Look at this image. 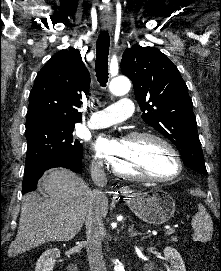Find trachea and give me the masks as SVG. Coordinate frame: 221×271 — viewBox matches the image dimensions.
<instances>
[{
    "instance_id": "3493384b",
    "label": "trachea",
    "mask_w": 221,
    "mask_h": 271,
    "mask_svg": "<svg viewBox=\"0 0 221 271\" xmlns=\"http://www.w3.org/2000/svg\"><path fill=\"white\" fill-rule=\"evenodd\" d=\"M110 37L106 31L100 33L96 45V77L101 86H106L108 81V54Z\"/></svg>"
}]
</instances>
